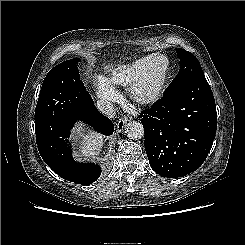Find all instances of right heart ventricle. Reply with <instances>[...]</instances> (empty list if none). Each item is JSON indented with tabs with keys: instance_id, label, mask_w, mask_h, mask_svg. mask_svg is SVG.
<instances>
[{
	"instance_id": "e07e8e85",
	"label": "right heart ventricle",
	"mask_w": 245,
	"mask_h": 245,
	"mask_svg": "<svg viewBox=\"0 0 245 245\" xmlns=\"http://www.w3.org/2000/svg\"><path fill=\"white\" fill-rule=\"evenodd\" d=\"M148 56L121 64L110 71L108 83L110 85L129 87L136 80L145 65Z\"/></svg>"
}]
</instances>
